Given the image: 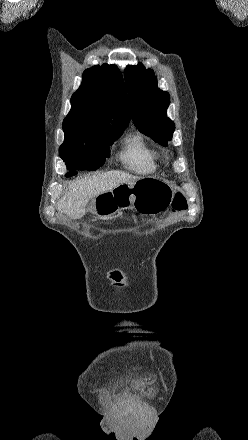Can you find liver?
Returning a JSON list of instances; mask_svg holds the SVG:
<instances>
[{"mask_svg":"<svg viewBox=\"0 0 248 440\" xmlns=\"http://www.w3.org/2000/svg\"><path fill=\"white\" fill-rule=\"evenodd\" d=\"M140 178L122 171H108L78 180L57 203V210L71 219H79L87 212L89 202L121 184H134Z\"/></svg>","mask_w":248,"mask_h":440,"instance_id":"6515ba94","label":"liver"}]
</instances>
